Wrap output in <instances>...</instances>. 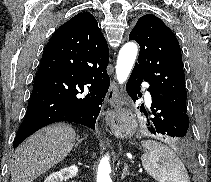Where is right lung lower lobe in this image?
<instances>
[{
    "label": "right lung lower lobe",
    "mask_w": 211,
    "mask_h": 182,
    "mask_svg": "<svg viewBox=\"0 0 211 182\" xmlns=\"http://www.w3.org/2000/svg\"><path fill=\"white\" fill-rule=\"evenodd\" d=\"M108 62L107 45L77 44L70 34L63 33V29L57 30L40 60L14 148L35 131L58 121L75 122L95 129L110 86L106 71Z\"/></svg>",
    "instance_id": "right-lung-lower-lobe-1"
}]
</instances>
